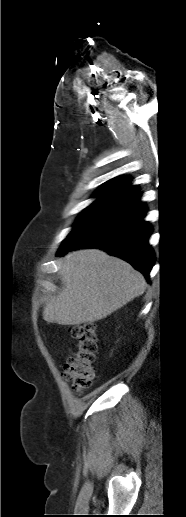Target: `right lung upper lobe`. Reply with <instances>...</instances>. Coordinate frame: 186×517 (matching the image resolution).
I'll use <instances>...</instances> for the list:
<instances>
[{
    "label": "right lung upper lobe",
    "mask_w": 186,
    "mask_h": 517,
    "mask_svg": "<svg viewBox=\"0 0 186 517\" xmlns=\"http://www.w3.org/2000/svg\"><path fill=\"white\" fill-rule=\"evenodd\" d=\"M139 192L137 186L130 185V179L116 177L107 181L94 195L100 196L97 200L118 203Z\"/></svg>",
    "instance_id": "cb5924a9"
}]
</instances>
